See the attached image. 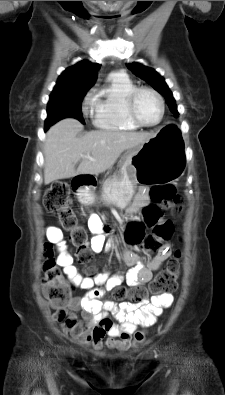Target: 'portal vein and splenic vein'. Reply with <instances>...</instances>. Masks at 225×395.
I'll return each instance as SVG.
<instances>
[{
    "label": "portal vein and splenic vein",
    "mask_w": 225,
    "mask_h": 395,
    "mask_svg": "<svg viewBox=\"0 0 225 395\" xmlns=\"http://www.w3.org/2000/svg\"><path fill=\"white\" fill-rule=\"evenodd\" d=\"M85 158H88V159H90V160H93V158L92 157H90L89 155H87V156H84Z\"/></svg>",
    "instance_id": "18ae733b"
}]
</instances>
